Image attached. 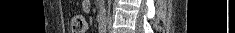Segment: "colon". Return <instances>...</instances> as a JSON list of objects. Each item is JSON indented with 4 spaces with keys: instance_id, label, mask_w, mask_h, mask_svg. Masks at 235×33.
<instances>
[{
    "instance_id": "obj_1",
    "label": "colon",
    "mask_w": 235,
    "mask_h": 33,
    "mask_svg": "<svg viewBox=\"0 0 235 33\" xmlns=\"http://www.w3.org/2000/svg\"><path fill=\"white\" fill-rule=\"evenodd\" d=\"M70 29L72 33H86L88 22L81 14H75L70 19Z\"/></svg>"
}]
</instances>
